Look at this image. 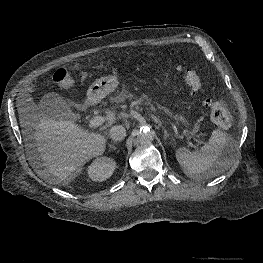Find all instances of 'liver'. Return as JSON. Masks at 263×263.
I'll return each mask as SVG.
<instances>
[{
    "mask_svg": "<svg viewBox=\"0 0 263 263\" xmlns=\"http://www.w3.org/2000/svg\"><path fill=\"white\" fill-rule=\"evenodd\" d=\"M19 116L25 141L34 129L36 154L30 151V144L26 145L32 167L50 183L70 182L87 161L105 151L106 138L102 134L90 133L72 121L42 115L35 105L21 106ZM115 116L107 111L108 125L116 121Z\"/></svg>",
    "mask_w": 263,
    "mask_h": 263,
    "instance_id": "6515ba94",
    "label": "liver"
}]
</instances>
